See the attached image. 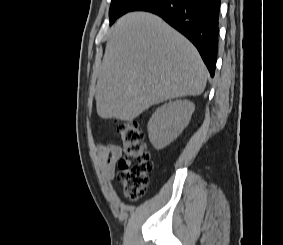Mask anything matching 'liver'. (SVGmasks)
Wrapping results in <instances>:
<instances>
[{
    "mask_svg": "<svg viewBox=\"0 0 283 245\" xmlns=\"http://www.w3.org/2000/svg\"><path fill=\"white\" fill-rule=\"evenodd\" d=\"M207 69L196 48L160 17L132 12L115 24L95 91L103 119L133 121L154 104L198 96Z\"/></svg>",
    "mask_w": 283,
    "mask_h": 245,
    "instance_id": "liver-1",
    "label": "liver"
}]
</instances>
